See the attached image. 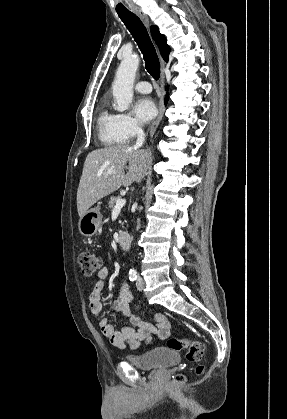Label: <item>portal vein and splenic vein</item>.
Returning <instances> with one entry per match:
<instances>
[{"instance_id":"portal-vein-and-splenic-vein-1","label":"portal vein and splenic vein","mask_w":287,"mask_h":419,"mask_svg":"<svg viewBox=\"0 0 287 419\" xmlns=\"http://www.w3.org/2000/svg\"><path fill=\"white\" fill-rule=\"evenodd\" d=\"M110 173H111V171H110ZM125 204H126L125 199H121V198L117 199V201L115 203V206L113 208V212L121 210L123 208V206H125Z\"/></svg>"}]
</instances>
